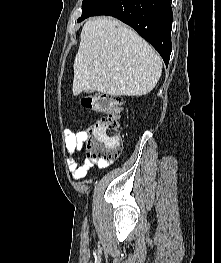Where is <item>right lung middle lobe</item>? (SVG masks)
I'll return each mask as SVG.
<instances>
[{
    "instance_id": "dd1d6c3e",
    "label": "right lung middle lobe",
    "mask_w": 221,
    "mask_h": 263,
    "mask_svg": "<svg viewBox=\"0 0 221 263\" xmlns=\"http://www.w3.org/2000/svg\"><path fill=\"white\" fill-rule=\"evenodd\" d=\"M107 0H83L82 15L77 22L92 16Z\"/></svg>"
}]
</instances>
